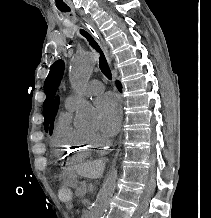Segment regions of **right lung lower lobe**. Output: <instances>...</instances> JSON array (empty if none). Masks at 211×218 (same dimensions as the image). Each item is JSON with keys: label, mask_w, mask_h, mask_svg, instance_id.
<instances>
[{"label": "right lung lower lobe", "mask_w": 211, "mask_h": 218, "mask_svg": "<svg viewBox=\"0 0 211 218\" xmlns=\"http://www.w3.org/2000/svg\"><path fill=\"white\" fill-rule=\"evenodd\" d=\"M116 85H117L118 89L121 90V84L118 81L116 82Z\"/></svg>", "instance_id": "right-lung-lower-lobe-1"}]
</instances>
